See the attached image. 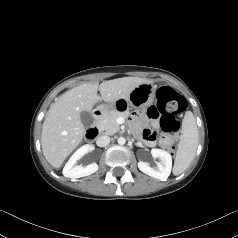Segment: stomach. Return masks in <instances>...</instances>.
Here are the masks:
<instances>
[{
    "mask_svg": "<svg viewBox=\"0 0 238 238\" xmlns=\"http://www.w3.org/2000/svg\"><path fill=\"white\" fill-rule=\"evenodd\" d=\"M155 87L151 83H144L132 90L130 95H120L114 103L102 104L97 110L106 114L117 110L120 114H129L134 108L143 109L154 101Z\"/></svg>",
    "mask_w": 238,
    "mask_h": 238,
    "instance_id": "stomach-1",
    "label": "stomach"
}]
</instances>
